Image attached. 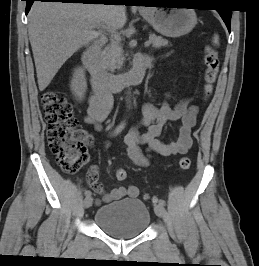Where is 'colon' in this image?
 <instances>
[{
  "instance_id": "colon-1",
  "label": "colon",
  "mask_w": 259,
  "mask_h": 266,
  "mask_svg": "<svg viewBox=\"0 0 259 266\" xmlns=\"http://www.w3.org/2000/svg\"><path fill=\"white\" fill-rule=\"evenodd\" d=\"M204 63V97L208 98L212 94L219 70L218 53L211 46L204 48ZM41 102L47 124L48 144L57 163L67 173L79 171L88 160L86 144L90 142V136L78 128L72 106L65 97L54 91H46L41 97ZM190 166L189 158L183 157L179 160L182 170H188ZM115 176L117 180L123 181L127 178V172L118 169Z\"/></svg>"
}]
</instances>
